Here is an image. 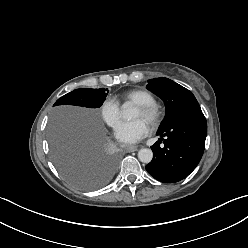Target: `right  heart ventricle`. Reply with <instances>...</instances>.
<instances>
[{
  "instance_id": "right-heart-ventricle-1",
  "label": "right heart ventricle",
  "mask_w": 248,
  "mask_h": 248,
  "mask_svg": "<svg viewBox=\"0 0 248 248\" xmlns=\"http://www.w3.org/2000/svg\"><path fill=\"white\" fill-rule=\"evenodd\" d=\"M117 102L119 99H115ZM122 100L131 102L135 105L144 104L155 101L154 95L146 89H132L125 92L122 96Z\"/></svg>"
}]
</instances>
